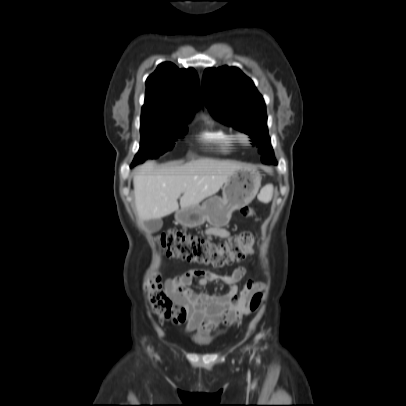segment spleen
I'll return each mask as SVG.
<instances>
[{
	"label": "spleen",
	"mask_w": 406,
	"mask_h": 406,
	"mask_svg": "<svg viewBox=\"0 0 406 406\" xmlns=\"http://www.w3.org/2000/svg\"><path fill=\"white\" fill-rule=\"evenodd\" d=\"M260 195L265 201H269L272 197V185L262 188Z\"/></svg>",
	"instance_id": "obj_1"
}]
</instances>
